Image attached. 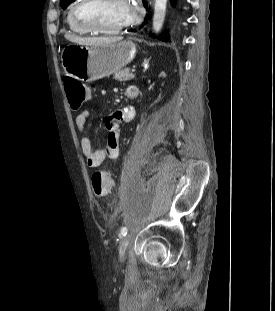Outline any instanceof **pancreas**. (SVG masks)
Segmentation results:
<instances>
[{
	"instance_id": "obj_1",
	"label": "pancreas",
	"mask_w": 275,
	"mask_h": 311,
	"mask_svg": "<svg viewBox=\"0 0 275 311\" xmlns=\"http://www.w3.org/2000/svg\"><path fill=\"white\" fill-rule=\"evenodd\" d=\"M115 80L124 82L129 81L134 78V74H132L128 69H123L115 73L114 77Z\"/></svg>"
}]
</instances>
